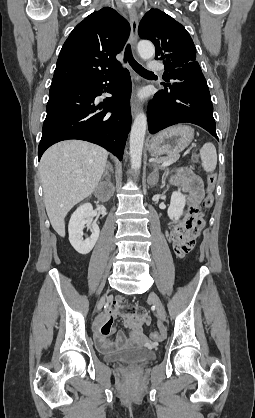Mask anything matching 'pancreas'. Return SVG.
<instances>
[{
  "instance_id": "obj_1",
  "label": "pancreas",
  "mask_w": 255,
  "mask_h": 418,
  "mask_svg": "<svg viewBox=\"0 0 255 418\" xmlns=\"http://www.w3.org/2000/svg\"><path fill=\"white\" fill-rule=\"evenodd\" d=\"M178 159H179V154L167 155L166 157L155 159V163L159 164V163H163L164 161L176 162Z\"/></svg>"
}]
</instances>
